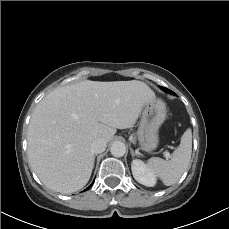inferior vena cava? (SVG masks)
<instances>
[{
  "label": "inferior vena cava",
  "mask_w": 229,
  "mask_h": 229,
  "mask_svg": "<svg viewBox=\"0 0 229 229\" xmlns=\"http://www.w3.org/2000/svg\"><path fill=\"white\" fill-rule=\"evenodd\" d=\"M107 142L103 138H96L91 143V152L94 154H99L105 151Z\"/></svg>",
  "instance_id": "602c4592"
}]
</instances>
